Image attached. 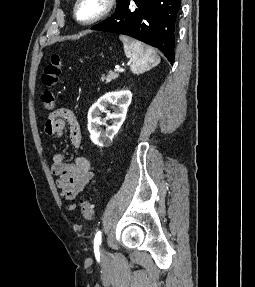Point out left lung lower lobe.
<instances>
[{
    "label": "left lung lower lobe",
    "mask_w": 255,
    "mask_h": 287,
    "mask_svg": "<svg viewBox=\"0 0 255 287\" xmlns=\"http://www.w3.org/2000/svg\"><path fill=\"white\" fill-rule=\"evenodd\" d=\"M114 15L92 30L131 36L159 48L173 64L181 0H118Z\"/></svg>",
    "instance_id": "left-lung-lower-lobe-1"
}]
</instances>
